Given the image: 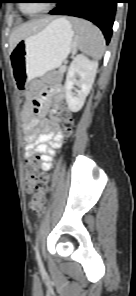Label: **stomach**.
Returning a JSON list of instances; mask_svg holds the SVG:
<instances>
[{
  "label": "stomach",
  "mask_w": 136,
  "mask_h": 296,
  "mask_svg": "<svg viewBox=\"0 0 136 296\" xmlns=\"http://www.w3.org/2000/svg\"><path fill=\"white\" fill-rule=\"evenodd\" d=\"M74 31L64 17L52 20L36 33L20 40L10 54L18 90L61 66L71 51Z\"/></svg>",
  "instance_id": "stomach-1"
}]
</instances>
